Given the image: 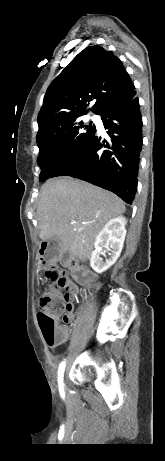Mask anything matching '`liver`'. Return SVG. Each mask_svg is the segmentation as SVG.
I'll list each match as a JSON object with an SVG mask.
<instances>
[{"mask_svg":"<svg viewBox=\"0 0 165 461\" xmlns=\"http://www.w3.org/2000/svg\"><path fill=\"white\" fill-rule=\"evenodd\" d=\"M125 210L124 202L111 192L71 177L53 178L42 186L39 236L58 237L66 251L85 262L105 223Z\"/></svg>","mask_w":165,"mask_h":461,"instance_id":"1","label":"liver"}]
</instances>
